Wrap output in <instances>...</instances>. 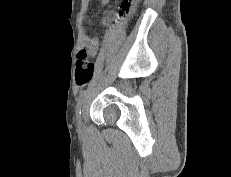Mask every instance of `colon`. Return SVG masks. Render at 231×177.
I'll use <instances>...</instances> for the list:
<instances>
[{"label": "colon", "mask_w": 231, "mask_h": 177, "mask_svg": "<svg viewBox=\"0 0 231 177\" xmlns=\"http://www.w3.org/2000/svg\"><path fill=\"white\" fill-rule=\"evenodd\" d=\"M137 0H126L123 2L121 14L129 13ZM94 63L90 60L86 49H81L77 54L75 80L79 86L88 84L94 75Z\"/></svg>", "instance_id": "colon-1"}]
</instances>
